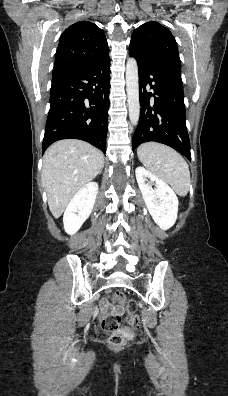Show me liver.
Here are the masks:
<instances>
[{
    "label": "liver",
    "mask_w": 228,
    "mask_h": 396,
    "mask_svg": "<svg viewBox=\"0 0 228 396\" xmlns=\"http://www.w3.org/2000/svg\"><path fill=\"white\" fill-rule=\"evenodd\" d=\"M103 164V153L82 140H60L46 150L41 180L55 218H59L73 196L99 174Z\"/></svg>",
    "instance_id": "6515ba94"
}]
</instances>
